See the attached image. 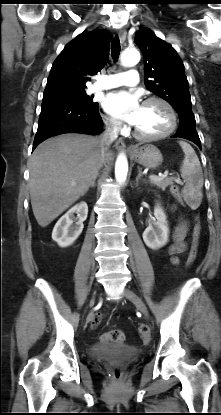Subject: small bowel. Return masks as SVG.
<instances>
[{
	"mask_svg": "<svg viewBox=\"0 0 221 415\" xmlns=\"http://www.w3.org/2000/svg\"><path fill=\"white\" fill-rule=\"evenodd\" d=\"M187 230L188 223L185 220H181L174 229L172 243L167 248L173 264L178 262L177 255L187 250V244L184 240Z\"/></svg>",
	"mask_w": 221,
	"mask_h": 415,
	"instance_id": "c3829d8e",
	"label": "small bowel"
}]
</instances>
